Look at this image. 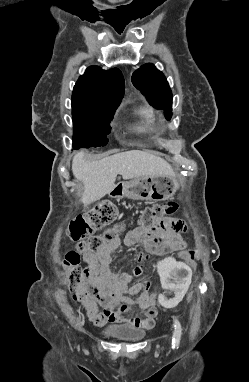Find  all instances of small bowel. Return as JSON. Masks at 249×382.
Returning <instances> with one entry per match:
<instances>
[{
    "instance_id": "1",
    "label": "small bowel",
    "mask_w": 249,
    "mask_h": 382,
    "mask_svg": "<svg viewBox=\"0 0 249 382\" xmlns=\"http://www.w3.org/2000/svg\"><path fill=\"white\" fill-rule=\"evenodd\" d=\"M185 230L186 224L182 219L164 217L150 228L130 231L123 239L116 236L105 243L98 252L85 253L83 261L86 263V268L78 287V299L85 308L89 320L97 326L113 322L141 330L152 329L157 310L154 307V297L146 291L148 282L140 281L128 287L131 277L126 274L120 275L111 269L112 255L121 244L132 246L139 241L145 242L151 249L158 247L159 250L180 251L185 245L182 237ZM136 257L141 261L144 260L145 254L138 252ZM137 294L140 296L133 300L131 296ZM97 304L104 307L102 312L98 311ZM132 304L139 306L140 315H126ZM153 308L155 312H151Z\"/></svg>"
}]
</instances>
